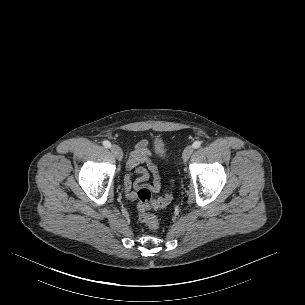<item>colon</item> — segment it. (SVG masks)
Instances as JSON below:
<instances>
[{
	"label": "colon",
	"instance_id": "colon-1",
	"mask_svg": "<svg viewBox=\"0 0 305 305\" xmlns=\"http://www.w3.org/2000/svg\"><path fill=\"white\" fill-rule=\"evenodd\" d=\"M173 199V187L164 196L154 199L149 188L143 187L137 192V212L139 220L151 232H157L160 222L157 216L149 212L150 209H158L167 206Z\"/></svg>",
	"mask_w": 305,
	"mask_h": 305
}]
</instances>
